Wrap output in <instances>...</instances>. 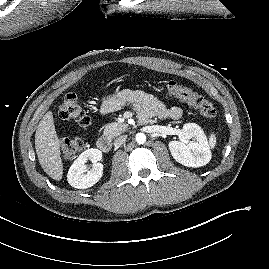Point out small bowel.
<instances>
[{
  "mask_svg": "<svg viewBox=\"0 0 269 269\" xmlns=\"http://www.w3.org/2000/svg\"><path fill=\"white\" fill-rule=\"evenodd\" d=\"M132 105L137 113L140 122L146 123L153 117L160 119H179L182 109L178 106L166 107L156 97L140 90L125 89L103 99L100 112L111 113L123 105Z\"/></svg>",
  "mask_w": 269,
  "mask_h": 269,
  "instance_id": "c3829d8e",
  "label": "small bowel"
}]
</instances>
